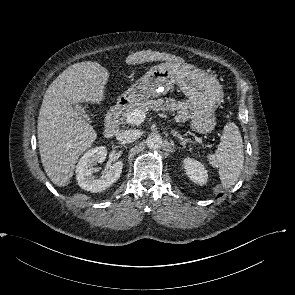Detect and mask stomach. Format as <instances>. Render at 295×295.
Here are the masks:
<instances>
[{"instance_id": "0dacf381", "label": "stomach", "mask_w": 295, "mask_h": 295, "mask_svg": "<svg viewBox=\"0 0 295 295\" xmlns=\"http://www.w3.org/2000/svg\"><path fill=\"white\" fill-rule=\"evenodd\" d=\"M175 84L190 102L191 128L210 133L216 125L215 110L223 99V89L214 75L193 65L171 61L155 65L133 83L118 102L133 105L164 95Z\"/></svg>"}]
</instances>
